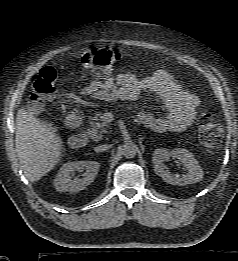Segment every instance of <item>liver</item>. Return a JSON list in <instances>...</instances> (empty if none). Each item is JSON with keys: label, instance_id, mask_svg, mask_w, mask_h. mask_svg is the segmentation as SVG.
Wrapping results in <instances>:
<instances>
[{"label": "liver", "instance_id": "obj_1", "mask_svg": "<svg viewBox=\"0 0 238 261\" xmlns=\"http://www.w3.org/2000/svg\"><path fill=\"white\" fill-rule=\"evenodd\" d=\"M15 147L21 168L31 182L50 172L63 153L58 134L24 108L16 116Z\"/></svg>", "mask_w": 238, "mask_h": 261}]
</instances>
